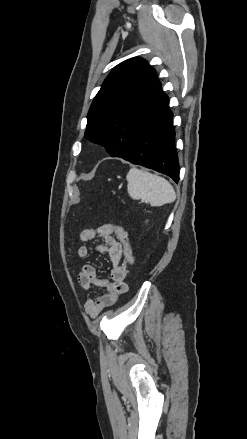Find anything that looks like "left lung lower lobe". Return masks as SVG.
<instances>
[{
    "label": "left lung lower lobe",
    "instance_id": "0a47b994",
    "mask_svg": "<svg viewBox=\"0 0 247 439\" xmlns=\"http://www.w3.org/2000/svg\"><path fill=\"white\" fill-rule=\"evenodd\" d=\"M173 114L167 100L137 132L128 152L122 157L179 180V166L174 147Z\"/></svg>",
    "mask_w": 247,
    "mask_h": 439
}]
</instances>
